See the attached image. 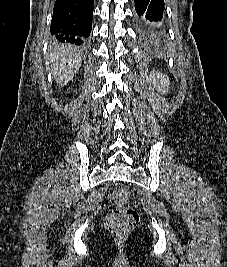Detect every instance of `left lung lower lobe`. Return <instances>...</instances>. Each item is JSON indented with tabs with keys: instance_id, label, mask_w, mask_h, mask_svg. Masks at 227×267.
<instances>
[{
	"instance_id": "1",
	"label": "left lung lower lobe",
	"mask_w": 227,
	"mask_h": 267,
	"mask_svg": "<svg viewBox=\"0 0 227 267\" xmlns=\"http://www.w3.org/2000/svg\"><path fill=\"white\" fill-rule=\"evenodd\" d=\"M139 16V25L143 32L158 35L164 32L162 23L164 0H134Z\"/></svg>"
}]
</instances>
